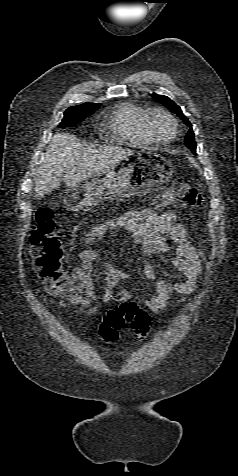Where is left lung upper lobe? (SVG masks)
<instances>
[{"label":"left lung upper lobe","mask_w":238,"mask_h":476,"mask_svg":"<svg viewBox=\"0 0 238 476\" xmlns=\"http://www.w3.org/2000/svg\"><path fill=\"white\" fill-rule=\"evenodd\" d=\"M153 98L158 100L160 103L164 104L168 109L176 113L182 120H184L186 123L191 124L188 119L185 117V115L182 113L180 107L176 105L175 102H173L171 99H169L167 96L164 95H157L153 94ZM185 145L189 149L193 151L194 154H196V142L194 140V132L192 128H190L189 132L187 133L185 137Z\"/></svg>","instance_id":"obj_1"}]
</instances>
